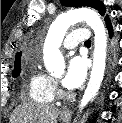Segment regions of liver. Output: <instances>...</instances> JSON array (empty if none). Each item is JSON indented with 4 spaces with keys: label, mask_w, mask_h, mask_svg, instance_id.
Returning a JSON list of instances; mask_svg holds the SVG:
<instances>
[{
    "label": "liver",
    "mask_w": 122,
    "mask_h": 123,
    "mask_svg": "<svg viewBox=\"0 0 122 123\" xmlns=\"http://www.w3.org/2000/svg\"><path fill=\"white\" fill-rule=\"evenodd\" d=\"M59 110L55 107L37 104L23 103L13 112L11 123H57Z\"/></svg>",
    "instance_id": "obj_1"
}]
</instances>
